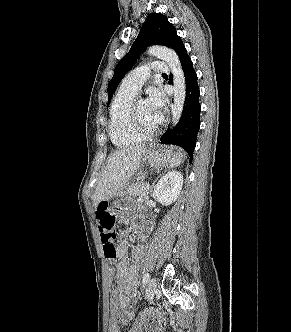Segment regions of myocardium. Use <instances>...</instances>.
Returning a JSON list of instances; mask_svg holds the SVG:
<instances>
[{
  "label": "myocardium",
  "instance_id": "obj_1",
  "mask_svg": "<svg viewBox=\"0 0 291 332\" xmlns=\"http://www.w3.org/2000/svg\"><path fill=\"white\" fill-rule=\"evenodd\" d=\"M138 100L139 99H134L130 107L131 128L137 135H139L142 138L152 137L159 132L160 124H158L155 128L152 129H146L141 125L138 115V106H137Z\"/></svg>",
  "mask_w": 291,
  "mask_h": 332
}]
</instances>
